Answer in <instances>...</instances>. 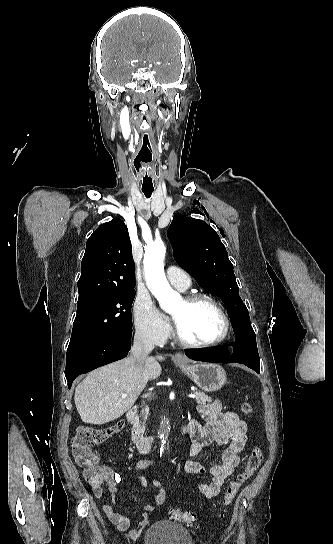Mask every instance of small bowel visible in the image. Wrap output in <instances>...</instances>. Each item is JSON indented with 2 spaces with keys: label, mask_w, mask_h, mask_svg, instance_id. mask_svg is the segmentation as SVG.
Returning a JSON list of instances; mask_svg holds the SVG:
<instances>
[{
  "label": "small bowel",
  "mask_w": 333,
  "mask_h": 544,
  "mask_svg": "<svg viewBox=\"0 0 333 544\" xmlns=\"http://www.w3.org/2000/svg\"><path fill=\"white\" fill-rule=\"evenodd\" d=\"M198 411L205 420L206 424L202 426L196 420H188L182 426L189 435L191 444L188 454L191 459L186 460L182 465V471L188 474H203L206 472L205 466L194 458L203 454L204 450L212 445L224 446L222 462L219 465H212L209 468L211 481L209 483L196 484L194 490L203 494L208 499L215 498L224 485L225 480L230 477L240 463V453L247 441V424L236 413L224 411L221 403L215 400L211 403H204L198 406ZM154 461L149 459L139 460L135 465V475L143 489L149 487L143 470L153 467ZM104 480L98 486H92L93 494L96 498H101L104 494L103 484L111 494L118 491L117 484L120 477L109 468H104ZM152 487L156 490L155 501L152 504L143 505V513L137 525L130 529V520L117 513L111 504L103 505V512L107 519L116 527L118 531L126 532V537L132 540L140 537L144 529L149 524V513L160 506L166 497L161 482L154 481Z\"/></svg>",
  "instance_id": "obj_1"
}]
</instances>
